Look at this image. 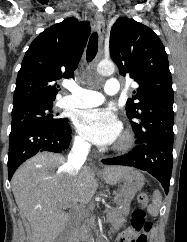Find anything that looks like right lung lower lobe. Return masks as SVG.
Wrapping results in <instances>:
<instances>
[{"label": "right lung lower lobe", "instance_id": "right-lung-lower-lobe-1", "mask_svg": "<svg viewBox=\"0 0 187 242\" xmlns=\"http://www.w3.org/2000/svg\"><path fill=\"white\" fill-rule=\"evenodd\" d=\"M71 128L68 123L62 127L21 126L11 129L8 153V178L28 158L38 152L60 153L69 148Z\"/></svg>", "mask_w": 187, "mask_h": 242}]
</instances>
